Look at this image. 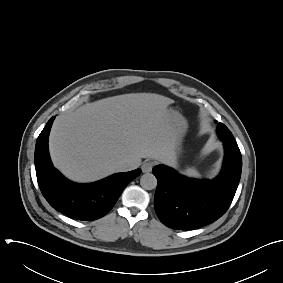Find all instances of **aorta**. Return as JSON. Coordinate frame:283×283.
I'll return each instance as SVG.
<instances>
[{"mask_svg":"<svg viewBox=\"0 0 283 283\" xmlns=\"http://www.w3.org/2000/svg\"><path fill=\"white\" fill-rule=\"evenodd\" d=\"M140 185L146 190H153L157 186V179L151 173H145L140 178Z\"/></svg>","mask_w":283,"mask_h":283,"instance_id":"762f6f07","label":"aorta"}]
</instances>
